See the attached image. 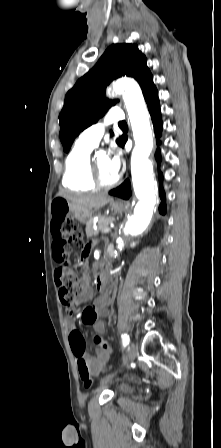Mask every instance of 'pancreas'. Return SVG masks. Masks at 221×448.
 <instances>
[{
	"label": "pancreas",
	"instance_id": "cf45deb5",
	"mask_svg": "<svg viewBox=\"0 0 221 448\" xmlns=\"http://www.w3.org/2000/svg\"><path fill=\"white\" fill-rule=\"evenodd\" d=\"M114 218L110 217V216H99V220H98V230L95 231L92 227V223L89 222L87 227H86V235L88 237H91L93 235H97L99 233V231H101L102 229H104V227L108 226L109 224L114 222Z\"/></svg>",
	"mask_w": 221,
	"mask_h": 448
}]
</instances>
